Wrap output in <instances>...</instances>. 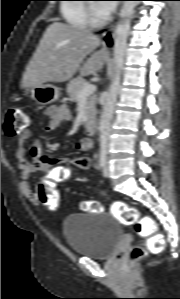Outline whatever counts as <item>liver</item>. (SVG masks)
Segmentation results:
<instances>
[{
    "instance_id": "1",
    "label": "liver",
    "mask_w": 180,
    "mask_h": 299,
    "mask_svg": "<svg viewBox=\"0 0 180 299\" xmlns=\"http://www.w3.org/2000/svg\"><path fill=\"white\" fill-rule=\"evenodd\" d=\"M100 44L101 40L88 30L53 22L26 67L21 88L46 82H65L77 71L81 76L95 75L107 57L106 51L94 52ZM89 54L91 56L84 62Z\"/></svg>"
}]
</instances>
